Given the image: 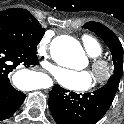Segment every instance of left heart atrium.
Returning <instances> with one entry per match:
<instances>
[{
  "label": "left heart atrium",
  "mask_w": 124,
  "mask_h": 124,
  "mask_svg": "<svg viewBox=\"0 0 124 124\" xmlns=\"http://www.w3.org/2000/svg\"><path fill=\"white\" fill-rule=\"evenodd\" d=\"M55 80L71 90H85L92 84V75L85 70L54 69Z\"/></svg>",
  "instance_id": "1"
}]
</instances>
